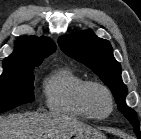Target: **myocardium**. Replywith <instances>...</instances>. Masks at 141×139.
<instances>
[{"label": "myocardium", "instance_id": "f54148a6", "mask_svg": "<svg viewBox=\"0 0 141 139\" xmlns=\"http://www.w3.org/2000/svg\"><path fill=\"white\" fill-rule=\"evenodd\" d=\"M94 89H99V90L103 91L108 97L109 109H108V112L104 115H99V114L95 113V111L93 110L91 100H90V94H91L92 90H94ZM80 97H81V102H82L83 107L85 108L87 113L90 115V117L93 119L104 120V119L108 118L113 113V110H114L113 93L110 90V88L102 82L87 81L81 89Z\"/></svg>", "mask_w": 141, "mask_h": 139}]
</instances>
